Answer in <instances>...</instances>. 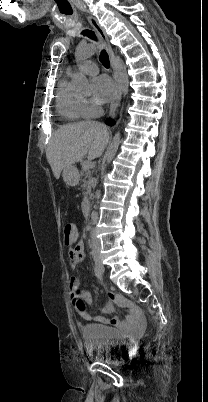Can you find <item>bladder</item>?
<instances>
[{
	"label": "bladder",
	"mask_w": 208,
	"mask_h": 402,
	"mask_svg": "<svg viewBox=\"0 0 208 402\" xmlns=\"http://www.w3.org/2000/svg\"><path fill=\"white\" fill-rule=\"evenodd\" d=\"M82 337L87 353L104 363H114V356L121 352L125 338L107 324L82 326Z\"/></svg>",
	"instance_id": "1"
}]
</instances>
